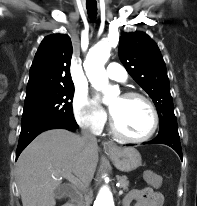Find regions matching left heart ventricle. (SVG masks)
Returning <instances> with one entry per match:
<instances>
[{"mask_svg":"<svg viewBox=\"0 0 197 206\" xmlns=\"http://www.w3.org/2000/svg\"><path fill=\"white\" fill-rule=\"evenodd\" d=\"M116 124L125 134L133 137L146 135L153 124L149 106L141 99L115 97L109 104Z\"/></svg>","mask_w":197,"mask_h":206,"instance_id":"b2bd125f","label":"left heart ventricle"}]
</instances>
